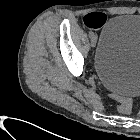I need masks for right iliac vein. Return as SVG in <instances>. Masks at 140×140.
Returning <instances> with one entry per match:
<instances>
[{
	"instance_id": "63e3f726",
	"label": "right iliac vein",
	"mask_w": 140,
	"mask_h": 140,
	"mask_svg": "<svg viewBox=\"0 0 140 140\" xmlns=\"http://www.w3.org/2000/svg\"><path fill=\"white\" fill-rule=\"evenodd\" d=\"M91 46H92V47H95V46H96V39H95L94 36H93L92 39H91Z\"/></svg>"
}]
</instances>
